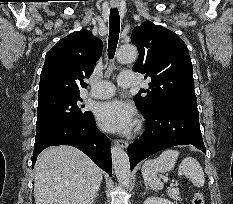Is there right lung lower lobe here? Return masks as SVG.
<instances>
[{"instance_id":"obj_1","label":"right lung lower lobe","mask_w":233,"mask_h":204,"mask_svg":"<svg viewBox=\"0 0 233 204\" xmlns=\"http://www.w3.org/2000/svg\"><path fill=\"white\" fill-rule=\"evenodd\" d=\"M57 145H70L78 148L111 176V142L98 130L92 115L78 124L64 126L35 138L32 168L42 150Z\"/></svg>"}]
</instances>
